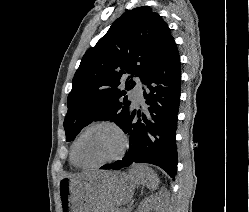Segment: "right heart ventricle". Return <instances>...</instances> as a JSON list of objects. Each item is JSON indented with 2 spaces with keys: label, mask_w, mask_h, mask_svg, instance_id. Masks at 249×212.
Here are the masks:
<instances>
[{
  "label": "right heart ventricle",
  "mask_w": 249,
  "mask_h": 212,
  "mask_svg": "<svg viewBox=\"0 0 249 212\" xmlns=\"http://www.w3.org/2000/svg\"><path fill=\"white\" fill-rule=\"evenodd\" d=\"M69 161H70V164H71L72 167L78 168V166H77V165L74 163V161H73L72 152H71V154H70Z\"/></svg>",
  "instance_id": "obj_1"
}]
</instances>
